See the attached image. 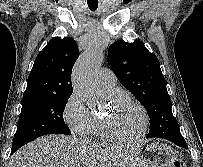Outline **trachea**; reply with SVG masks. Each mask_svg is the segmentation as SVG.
<instances>
[{
    "instance_id": "1",
    "label": "trachea",
    "mask_w": 203,
    "mask_h": 167,
    "mask_svg": "<svg viewBox=\"0 0 203 167\" xmlns=\"http://www.w3.org/2000/svg\"><path fill=\"white\" fill-rule=\"evenodd\" d=\"M88 7L91 11H95L98 7V3H88Z\"/></svg>"
}]
</instances>
